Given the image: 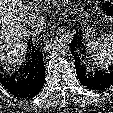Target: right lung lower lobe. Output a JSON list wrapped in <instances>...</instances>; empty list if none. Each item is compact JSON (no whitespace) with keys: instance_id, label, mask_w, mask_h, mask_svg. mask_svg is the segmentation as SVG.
<instances>
[{"instance_id":"right-lung-lower-lobe-1","label":"right lung lower lobe","mask_w":113,"mask_h":113,"mask_svg":"<svg viewBox=\"0 0 113 113\" xmlns=\"http://www.w3.org/2000/svg\"><path fill=\"white\" fill-rule=\"evenodd\" d=\"M29 50L25 63L12 74L0 73V83L12 95L22 99L36 96L45 81V66L42 51L29 42Z\"/></svg>"}]
</instances>
